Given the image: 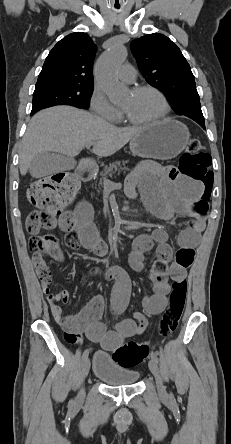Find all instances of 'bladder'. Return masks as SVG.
Here are the masks:
<instances>
[{"mask_svg": "<svg viewBox=\"0 0 231 444\" xmlns=\"http://www.w3.org/2000/svg\"><path fill=\"white\" fill-rule=\"evenodd\" d=\"M92 373L110 386L133 385L140 377V372L121 365L111 354L103 351L95 353Z\"/></svg>", "mask_w": 231, "mask_h": 444, "instance_id": "obj_1", "label": "bladder"}]
</instances>
